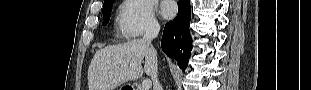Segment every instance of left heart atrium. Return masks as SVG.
I'll return each mask as SVG.
<instances>
[{
	"label": "left heart atrium",
	"mask_w": 311,
	"mask_h": 90,
	"mask_svg": "<svg viewBox=\"0 0 311 90\" xmlns=\"http://www.w3.org/2000/svg\"><path fill=\"white\" fill-rule=\"evenodd\" d=\"M162 16L166 19L172 18L176 14V6L172 1H164L161 6Z\"/></svg>",
	"instance_id": "39dd6f15"
}]
</instances>
